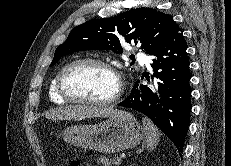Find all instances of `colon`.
Listing matches in <instances>:
<instances>
[{"instance_id":"5ec220e1","label":"colon","mask_w":231,"mask_h":166,"mask_svg":"<svg viewBox=\"0 0 231 166\" xmlns=\"http://www.w3.org/2000/svg\"><path fill=\"white\" fill-rule=\"evenodd\" d=\"M68 166H85V164L80 163V162L75 161V160H71L68 162Z\"/></svg>"}]
</instances>
